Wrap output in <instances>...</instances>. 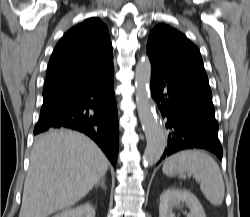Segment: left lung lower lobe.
I'll return each mask as SVG.
<instances>
[{
	"mask_svg": "<svg viewBox=\"0 0 250 217\" xmlns=\"http://www.w3.org/2000/svg\"><path fill=\"white\" fill-rule=\"evenodd\" d=\"M149 57L151 95L169 133L161 160L193 148L207 149L221 160L223 150L217 136L218 123L206 73L167 66Z\"/></svg>",
	"mask_w": 250,
	"mask_h": 217,
	"instance_id": "1",
	"label": "left lung lower lobe"
}]
</instances>
